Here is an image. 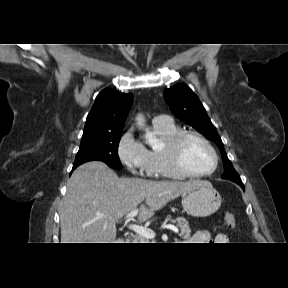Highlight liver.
<instances>
[{
	"instance_id": "obj_1",
	"label": "liver",
	"mask_w": 288,
	"mask_h": 288,
	"mask_svg": "<svg viewBox=\"0 0 288 288\" xmlns=\"http://www.w3.org/2000/svg\"><path fill=\"white\" fill-rule=\"evenodd\" d=\"M197 182L119 178L103 162L84 163L67 182L60 208L61 243H114L116 222L124 215L139 206L138 221L145 222Z\"/></svg>"
}]
</instances>
